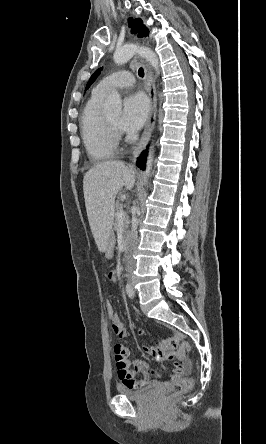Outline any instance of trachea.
I'll return each mask as SVG.
<instances>
[{
	"mask_svg": "<svg viewBox=\"0 0 266 444\" xmlns=\"http://www.w3.org/2000/svg\"><path fill=\"white\" fill-rule=\"evenodd\" d=\"M138 75L140 76V77H144V70H143V68L142 67H140L139 68V70H138Z\"/></svg>",
	"mask_w": 266,
	"mask_h": 444,
	"instance_id": "1",
	"label": "trachea"
}]
</instances>
